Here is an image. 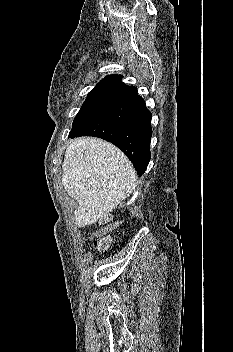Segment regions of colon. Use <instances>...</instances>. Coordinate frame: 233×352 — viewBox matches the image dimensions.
Here are the masks:
<instances>
[{
	"instance_id": "1",
	"label": "colon",
	"mask_w": 233,
	"mask_h": 352,
	"mask_svg": "<svg viewBox=\"0 0 233 352\" xmlns=\"http://www.w3.org/2000/svg\"><path fill=\"white\" fill-rule=\"evenodd\" d=\"M111 245V239L109 237H101L98 240H96L95 242V249L97 251H103L105 249H107L108 247H110Z\"/></svg>"
}]
</instances>
